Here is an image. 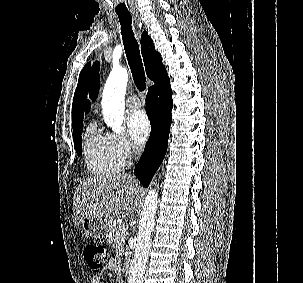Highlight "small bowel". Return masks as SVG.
<instances>
[{
    "label": "small bowel",
    "mask_w": 303,
    "mask_h": 283,
    "mask_svg": "<svg viewBox=\"0 0 303 283\" xmlns=\"http://www.w3.org/2000/svg\"><path fill=\"white\" fill-rule=\"evenodd\" d=\"M115 268V260L111 259L107 265L104 267V270L108 271V270H112ZM90 283H102V277L101 275H94L91 280Z\"/></svg>",
    "instance_id": "1"
}]
</instances>
